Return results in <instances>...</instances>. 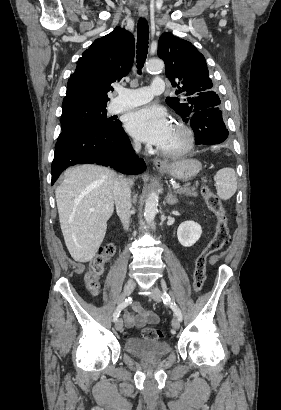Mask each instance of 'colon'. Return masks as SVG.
Here are the masks:
<instances>
[{
    "instance_id": "5ec220e1",
    "label": "colon",
    "mask_w": 281,
    "mask_h": 410,
    "mask_svg": "<svg viewBox=\"0 0 281 410\" xmlns=\"http://www.w3.org/2000/svg\"><path fill=\"white\" fill-rule=\"evenodd\" d=\"M202 194L209 210L216 214L218 224L214 237L195 261L193 287L196 293H199L204 286L208 258L220 251L230 240L229 218L223 209L220 198L208 185L206 179L202 186ZM115 252L116 246L114 244H107L100 247L96 256L91 260L84 280L86 288L92 295H98L100 290V277L104 271V264L111 260ZM142 334L147 340H159L163 337L161 330L151 327L144 328Z\"/></svg>"
}]
</instances>
